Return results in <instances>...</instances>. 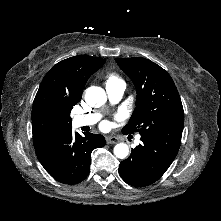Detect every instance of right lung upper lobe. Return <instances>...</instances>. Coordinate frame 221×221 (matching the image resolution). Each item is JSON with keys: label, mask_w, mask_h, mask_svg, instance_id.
<instances>
[{"label": "right lung upper lobe", "mask_w": 221, "mask_h": 221, "mask_svg": "<svg viewBox=\"0 0 221 221\" xmlns=\"http://www.w3.org/2000/svg\"><path fill=\"white\" fill-rule=\"evenodd\" d=\"M105 62L91 56H74L54 65L44 77L32 108L35 150L72 131L70 112L82 98L88 78Z\"/></svg>", "instance_id": "1"}]
</instances>
